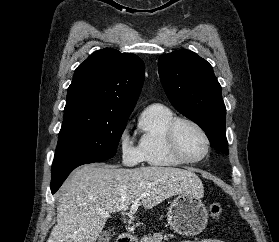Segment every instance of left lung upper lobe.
Here are the masks:
<instances>
[{
  "label": "left lung upper lobe",
  "instance_id": "1",
  "mask_svg": "<svg viewBox=\"0 0 279 242\" xmlns=\"http://www.w3.org/2000/svg\"><path fill=\"white\" fill-rule=\"evenodd\" d=\"M159 75L165 93L177 111L198 124L211 145L228 154L226 108L212 66L190 50L159 57Z\"/></svg>",
  "mask_w": 279,
  "mask_h": 242
}]
</instances>
